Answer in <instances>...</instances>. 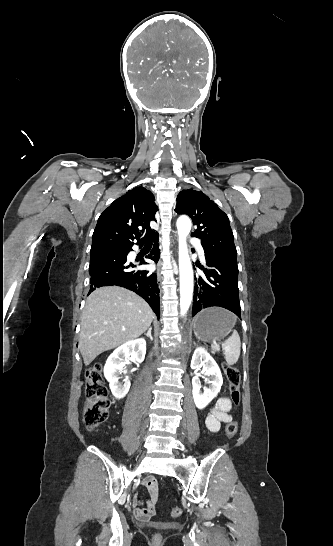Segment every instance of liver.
<instances>
[{
	"label": "liver",
	"instance_id": "obj_1",
	"mask_svg": "<svg viewBox=\"0 0 333 546\" xmlns=\"http://www.w3.org/2000/svg\"><path fill=\"white\" fill-rule=\"evenodd\" d=\"M153 319L148 303L134 292L117 286L97 288L81 314L79 349L84 364L140 337Z\"/></svg>",
	"mask_w": 333,
	"mask_h": 546
}]
</instances>
